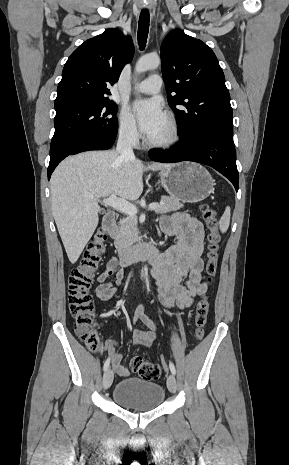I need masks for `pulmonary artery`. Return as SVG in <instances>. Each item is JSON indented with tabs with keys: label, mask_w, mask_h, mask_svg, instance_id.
Wrapping results in <instances>:
<instances>
[{
	"label": "pulmonary artery",
	"mask_w": 289,
	"mask_h": 465,
	"mask_svg": "<svg viewBox=\"0 0 289 465\" xmlns=\"http://www.w3.org/2000/svg\"><path fill=\"white\" fill-rule=\"evenodd\" d=\"M162 78L157 74L150 75L148 78L139 83L136 90L144 94H155L161 90Z\"/></svg>",
	"instance_id": "1"
}]
</instances>
